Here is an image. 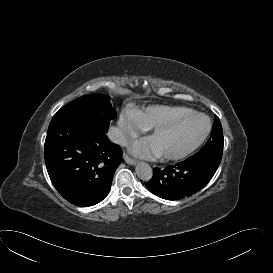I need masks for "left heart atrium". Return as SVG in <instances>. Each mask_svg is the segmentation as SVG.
Returning <instances> with one entry per match:
<instances>
[{"label":"left heart atrium","mask_w":273,"mask_h":273,"mask_svg":"<svg viewBox=\"0 0 273 273\" xmlns=\"http://www.w3.org/2000/svg\"><path fill=\"white\" fill-rule=\"evenodd\" d=\"M135 153L148 159L159 156V152L152 146L150 142L145 140L139 141L137 148L135 149Z\"/></svg>","instance_id":"1"}]
</instances>
